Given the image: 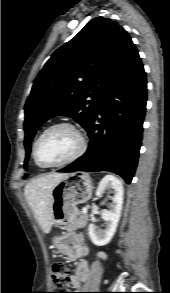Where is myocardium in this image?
<instances>
[{"instance_id":"myocardium-1","label":"myocardium","mask_w":170,"mask_h":293,"mask_svg":"<svg viewBox=\"0 0 170 293\" xmlns=\"http://www.w3.org/2000/svg\"><path fill=\"white\" fill-rule=\"evenodd\" d=\"M60 127H65L68 128L70 130H72L73 132H75L79 138L80 141V147L77 150V152L72 155L71 157H69L68 159H65L61 162L58 163H54V164H46L43 163L39 157H38V146L41 142V140L44 138V136L50 132L51 130L55 129V128H60ZM87 149V142L86 139L83 135V133L77 128L75 127L73 124L71 123H67V122H59V123H55L49 127H47L44 131L41 132V134L38 136V138L36 139L34 146H33V158L35 160V162L37 163V165H39L40 167H44V168H57V167H61L67 164H70L76 160H78L86 151Z\"/></svg>"}]
</instances>
